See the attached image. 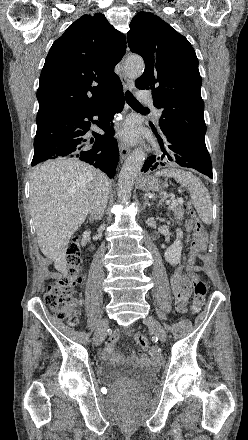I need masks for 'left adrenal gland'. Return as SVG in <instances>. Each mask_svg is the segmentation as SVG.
<instances>
[{"instance_id": "left-adrenal-gland-1", "label": "left adrenal gland", "mask_w": 248, "mask_h": 440, "mask_svg": "<svg viewBox=\"0 0 248 440\" xmlns=\"http://www.w3.org/2000/svg\"><path fill=\"white\" fill-rule=\"evenodd\" d=\"M150 207L151 206V204L149 203V201H148V199L147 198H145L144 199V205H143V209H145L146 207Z\"/></svg>"}]
</instances>
